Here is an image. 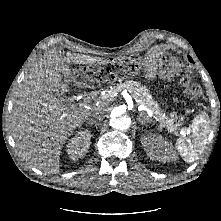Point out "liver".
Here are the masks:
<instances>
[{"mask_svg": "<svg viewBox=\"0 0 221 221\" xmlns=\"http://www.w3.org/2000/svg\"><path fill=\"white\" fill-rule=\"evenodd\" d=\"M102 58L90 55L46 52L35 62L19 84L10 119V129L19 155L31 166L46 173H57L61 149L75 129L80 127L95 108L103 115L105 103L90 108L75 109L63 96L70 82V64H94Z\"/></svg>", "mask_w": 221, "mask_h": 221, "instance_id": "6515ba94", "label": "liver"}]
</instances>
